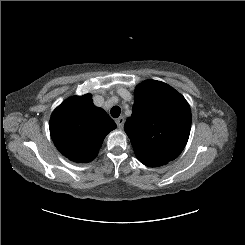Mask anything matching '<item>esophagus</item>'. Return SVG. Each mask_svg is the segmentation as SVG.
Wrapping results in <instances>:
<instances>
[{"mask_svg": "<svg viewBox=\"0 0 245 245\" xmlns=\"http://www.w3.org/2000/svg\"><path fill=\"white\" fill-rule=\"evenodd\" d=\"M125 119L123 116H120L119 118L116 119V124L119 129H122L124 126Z\"/></svg>", "mask_w": 245, "mask_h": 245, "instance_id": "1", "label": "esophagus"}]
</instances>
